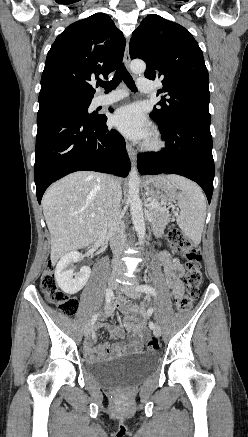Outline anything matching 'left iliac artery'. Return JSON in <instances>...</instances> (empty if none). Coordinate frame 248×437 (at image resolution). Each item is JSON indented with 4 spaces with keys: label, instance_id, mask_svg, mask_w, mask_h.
<instances>
[{
    "label": "left iliac artery",
    "instance_id": "1",
    "mask_svg": "<svg viewBox=\"0 0 248 437\" xmlns=\"http://www.w3.org/2000/svg\"><path fill=\"white\" fill-rule=\"evenodd\" d=\"M137 290L141 291V292L149 293V294H151L154 297H156V295H157L156 290L152 286H150V285H140V286L137 287ZM153 311H154V309L150 308L148 310V315H151L153 313ZM149 327L151 329H154L155 328V324L153 322H149Z\"/></svg>",
    "mask_w": 248,
    "mask_h": 437
}]
</instances>
